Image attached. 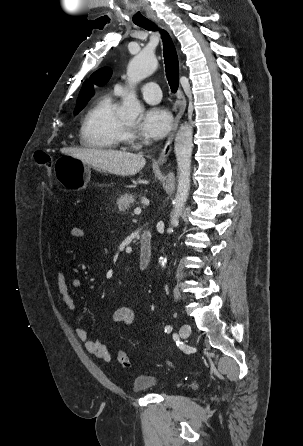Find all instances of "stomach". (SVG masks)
<instances>
[{"label":"stomach","mask_w":303,"mask_h":446,"mask_svg":"<svg viewBox=\"0 0 303 446\" xmlns=\"http://www.w3.org/2000/svg\"><path fill=\"white\" fill-rule=\"evenodd\" d=\"M54 173L63 187L80 191L86 188L90 180L91 166L73 156L63 155L56 160Z\"/></svg>","instance_id":"0dacf381"}]
</instances>
